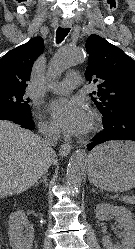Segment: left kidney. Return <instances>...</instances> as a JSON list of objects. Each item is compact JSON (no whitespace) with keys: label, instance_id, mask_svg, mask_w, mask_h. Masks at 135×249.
Segmentation results:
<instances>
[{"label":"left kidney","instance_id":"obj_1","mask_svg":"<svg viewBox=\"0 0 135 249\" xmlns=\"http://www.w3.org/2000/svg\"><path fill=\"white\" fill-rule=\"evenodd\" d=\"M96 218L104 221L115 217L118 224L124 228V240L121 245L112 243L108 236L102 238L105 249H134L135 248V221L131 212L123 206H114L107 203L98 204L96 207Z\"/></svg>","mask_w":135,"mask_h":249}]
</instances>
